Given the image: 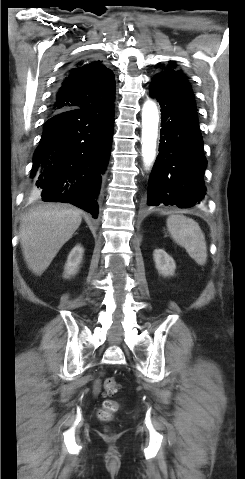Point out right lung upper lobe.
Returning <instances> with one entry per match:
<instances>
[{"instance_id":"1","label":"right lung upper lobe","mask_w":245,"mask_h":479,"mask_svg":"<svg viewBox=\"0 0 245 479\" xmlns=\"http://www.w3.org/2000/svg\"><path fill=\"white\" fill-rule=\"evenodd\" d=\"M115 101L113 72L103 61L87 58L75 62L61 79L50 114L68 109L112 106Z\"/></svg>"}]
</instances>
